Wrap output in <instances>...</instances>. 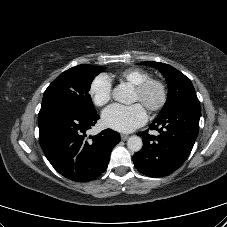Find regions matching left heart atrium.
Wrapping results in <instances>:
<instances>
[{
    "instance_id": "left-heart-atrium-1",
    "label": "left heart atrium",
    "mask_w": 227,
    "mask_h": 227,
    "mask_svg": "<svg viewBox=\"0 0 227 227\" xmlns=\"http://www.w3.org/2000/svg\"><path fill=\"white\" fill-rule=\"evenodd\" d=\"M104 124L119 132H132L147 121V112L140 103L130 106L112 105L102 114Z\"/></svg>"
}]
</instances>
